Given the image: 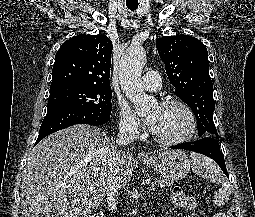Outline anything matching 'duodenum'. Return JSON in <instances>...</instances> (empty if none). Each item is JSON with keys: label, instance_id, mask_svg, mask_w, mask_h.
Instances as JSON below:
<instances>
[{"label": "duodenum", "instance_id": "duodenum-1", "mask_svg": "<svg viewBox=\"0 0 255 217\" xmlns=\"http://www.w3.org/2000/svg\"><path fill=\"white\" fill-rule=\"evenodd\" d=\"M96 217H104V215L100 213Z\"/></svg>", "mask_w": 255, "mask_h": 217}]
</instances>
